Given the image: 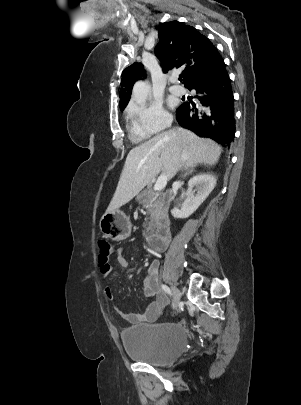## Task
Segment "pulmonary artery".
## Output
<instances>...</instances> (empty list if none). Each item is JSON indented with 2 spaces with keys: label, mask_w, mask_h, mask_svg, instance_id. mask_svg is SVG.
Here are the masks:
<instances>
[{
  "label": "pulmonary artery",
  "mask_w": 301,
  "mask_h": 405,
  "mask_svg": "<svg viewBox=\"0 0 301 405\" xmlns=\"http://www.w3.org/2000/svg\"><path fill=\"white\" fill-rule=\"evenodd\" d=\"M177 79L176 78H172L171 79V83L173 84L172 86H170L169 90L171 93L177 95V96H181L185 93V89L179 85L176 84Z\"/></svg>",
  "instance_id": "obj_1"
}]
</instances>
